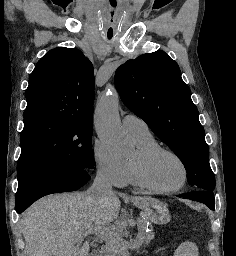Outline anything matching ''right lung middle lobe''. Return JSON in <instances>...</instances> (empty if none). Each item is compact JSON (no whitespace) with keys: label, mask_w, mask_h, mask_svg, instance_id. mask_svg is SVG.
<instances>
[{"label":"right lung middle lobe","mask_w":236,"mask_h":256,"mask_svg":"<svg viewBox=\"0 0 236 256\" xmlns=\"http://www.w3.org/2000/svg\"><path fill=\"white\" fill-rule=\"evenodd\" d=\"M92 132V123L56 118L24 121L17 164L18 183L43 170L65 166L93 169Z\"/></svg>","instance_id":"obj_1"}]
</instances>
